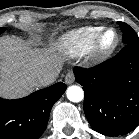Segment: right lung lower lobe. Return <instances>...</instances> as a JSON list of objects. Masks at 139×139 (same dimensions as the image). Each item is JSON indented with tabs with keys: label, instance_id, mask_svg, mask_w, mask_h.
Masks as SVG:
<instances>
[{
	"label": "right lung lower lobe",
	"instance_id": "obj_1",
	"mask_svg": "<svg viewBox=\"0 0 139 139\" xmlns=\"http://www.w3.org/2000/svg\"><path fill=\"white\" fill-rule=\"evenodd\" d=\"M66 88L59 82L21 99L0 98V139L39 138L47 126L52 106Z\"/></svg>",
	"mask_w": 139,
	"mask_h": 139
}]
</instances>
